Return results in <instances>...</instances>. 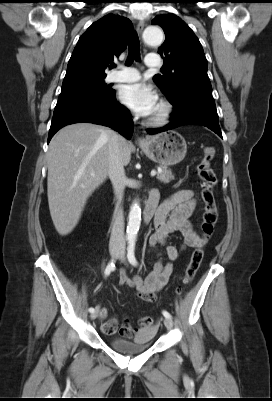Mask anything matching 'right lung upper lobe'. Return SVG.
I'll list each match as a JSON object with an SVG mask.
<instances>
[{
	"mask_svg": "<svg viewBox=\"0 0 272 401\" xmlns=\"http://www.w3.org/2000/svg\"><path fill=\"white\" fill-rule=\"evenodd\" d=\"M132 28L129 19L114 14L94 22L74 48L62 90L104 80L105 69L126 49Z\"/></svg>",
	"mask_w": 272,
	"mask_h": 401,
	"instance_id": "cb5924a9",
	"label": "right lung upper lobe"
}]
</instances>
